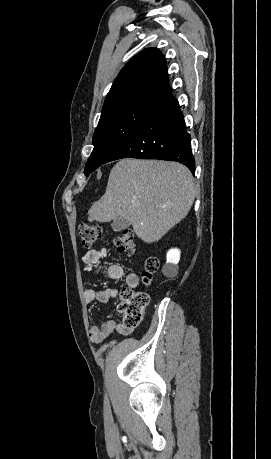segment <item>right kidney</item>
<instances>
[{"label": "right kidney", "mask_w": 271, "mask_h": 459, "mask_svg": "<svg viewBox=\"0 0 271 459\" xmlns=\"http://www.w3.org/2000/svg\"><path fill=\"white\" fill-rule=\"evenodd\" d=\"M180 259V249L172 247L167 251V261L162 267V271L166 277H174L178 273L177 263Z\"/></svg>", "instance_id": "ca27d5eb"}]
</instances>
